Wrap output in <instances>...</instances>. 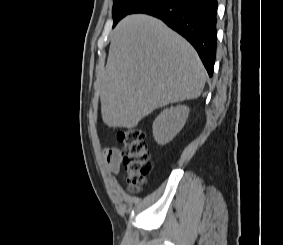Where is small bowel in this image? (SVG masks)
Listing matches in <instances>:
<instances>
[{
    "label": "small bowel",
    "mask_w": 283,
    "mask_h": 245,
    "mask_svg": "<svg viewBox=\"0 0 283 245\" xmlns=\"http://www.w3.org/2000/svg\"><path fill=\"white\" fill-rule=\"evenodd\" d=\"M103 156L107 169L110 173H116L119 169L122 154L117 147L105 148L103 150Z\"/></svg>",
    "instance_id": "c3829d8e"
}]
</instances>
